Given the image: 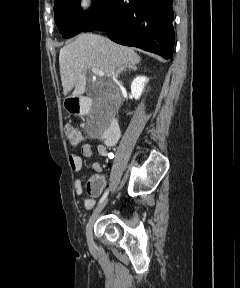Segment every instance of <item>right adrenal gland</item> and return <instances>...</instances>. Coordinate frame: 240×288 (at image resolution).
I'll use <instances>...</instances> for the list:
<instances>
[{
  "label": "right adrenal gland",
  "mask_w": 240,
  "mask_h": 288,
  "mask_svg": "<svg viewBox=\"0 0 240 288\" xmlns=\"http://www.w3.org/2000/svg\"><path fill=\"white\" fill-rule=\"evenodd\" d=\"M136 70H137V67H136V66L130 67V68H128L127 70H124V71H122V70H117V75L123 74L124 72H130V71H136Z\"/></svg>",
  "instance_id": "2a0ac1e0"
}]
</instances>
